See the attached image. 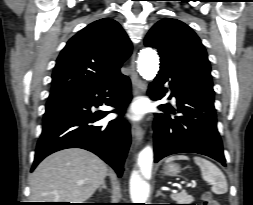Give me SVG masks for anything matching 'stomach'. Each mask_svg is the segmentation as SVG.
I'll return each instance as SVG.
<instances>
[{
  "label": "stomach",
  "mask_w": 253,
  "mask_h": 205,
  "mask_svg": "<svg viewBox=\"0 0 253 205\" xmlns=\"http://www.w3.org/2000/svg\"><path fill=\"white\" fill-rule=\"evenodd\" d=\"M180 168L177 164H168L165 168V173L167 175H175L179 172Z\"/></svg>",
  "instance_id": "obj_1"
}]
</instances>
